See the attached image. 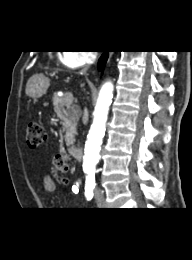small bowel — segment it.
<instances>
[{
	"mask_svg": "<svg viewBox=\"0 0 192 260\" xmlns=\"http://www.w3.org/2000/svg\"><path fill=\"white\" fill-rule=\"evenodd\" d=\"M58 184L50 175H46L43 180V190L46 193H52L56 190Z\"/></svg>",
	"mask_w": 192,
	"mask_h": 260,
	"instance_id": "c3829d8e",
	"label": "small bowel"
}]
</instances>
